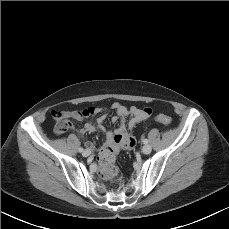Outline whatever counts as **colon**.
I'll list each match as a JSON object with an SVG mask.
<instances>
[{
	"label": "colon",
	"instance_id": "colon-1",
	"mask_svg": "<svg viewBox=\"0 0 229 229\" xmlns=\"http://www.w3.org/2000/svg\"><path fill=\"white\" fill-rule=\"evenodd\" d=\"M143 112L146 115H150L152 110L151 108H143ZM94 114V111H88L84 113L85 117L91 116ZM72 116L68 113H59L58 121L55 127V132L58 134L66 132L72 127ZM156 120L164 125H169L171 123V117L165 114H160L156 117ZM121 136H115L114 142L119 143L121 141ZM118 155V152L110 147H106L102 150L99 156L101 163L100 175L102 178L112 181L114 184L120 183L119 171L115 165V160Z\"/></svg>",
	"mask_w": 229,
	"mask_h": 229
}]
</instances>
